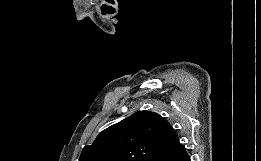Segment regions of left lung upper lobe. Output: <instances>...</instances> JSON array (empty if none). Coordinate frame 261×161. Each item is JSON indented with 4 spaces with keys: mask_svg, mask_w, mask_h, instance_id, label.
Returning <instances> with one entry per match:
<instances>
[{
    "mask_svg": "<svg viewBox=\"0 0 261 161\" xmlns=\"http://www.w3.org/2000/svg\"><path fill=\"white\" fill-rule=\"evenodd\" d=\"M177 134L159 114L139 111L103 130L79 161H150Z\"/></svg>",
    "mask_w": 261,
    "mask_h": 161,
    "instance_id": "5c2ea615",
    "label": "left lung upper lobe"
}]
</instances>
